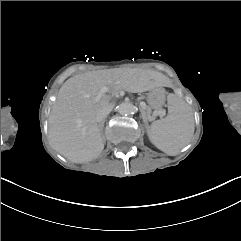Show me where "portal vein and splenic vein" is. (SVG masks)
Masks as SVG:
<instances>
[{
  "instance_id": "1",
  "label": "portal vein and splenic vein",
  "mask_w": 241,
  "mask_h": 241,
  "mask_svg": "<svg viewBox=\"0 0 241 241\" xmlns=\"http://www.w3.org/2000/svg\"><path fill=\"white\" fill-rule=\"evenodd\" d=\"M139 105H140V106H139L140 109H142V110L144 109V112H145V107L147 106V103L142 101V102H140ZM158 113H161V115H162V112H158ZM158 113H157V114H158ZM145 114H146V113H145ZM146 115H147V114H146ZM155 115H156V114H155ZM155 115H154V116H155ZM154 116L152 117V120H153ZM146 117H147V116H146ZM147 118H148V117H147ZM148 119L150 120V118H148Z\"/></svg>"
}]
</instances>
